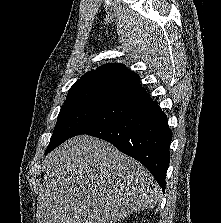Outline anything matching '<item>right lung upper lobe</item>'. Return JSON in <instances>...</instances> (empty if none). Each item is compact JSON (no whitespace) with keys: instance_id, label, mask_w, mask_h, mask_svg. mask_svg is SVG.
Segmentation results:
<instances>
[{"instance_id":"cb5924a9","label":"right lung upper lobe","mask_w":221,"mask_h":223,"mask_svg":"<svg viewBox=\"0 0 221 223\" xmlns=\"http://www.w3.org/2000/svg\"><path fill=\"white\" fill-rule=\"evenodd\" d=\"M84 98L111 100L135 107L152 100L141 86L139 76L120 63H109L87 72L70 88L66 101Z\"/></svg>"}]
</instances>
